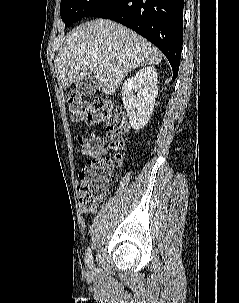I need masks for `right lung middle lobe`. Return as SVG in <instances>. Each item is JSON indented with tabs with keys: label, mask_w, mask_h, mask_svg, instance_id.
<instances>
[{
	"label": "right lung middle lobe",
	"mask_w": 239,
	"mask_h": 303,
	"mask_svg": "<svg viewBox=\"0 0 239 303\" xmlns=\"http://www.w3.org/2000/svg\"><path fill=\"white\" fill-rule=\"evenodd\" d=\"M106 0H62L60 15L65 23V28L71 26L84 16L102 5Z\"/></svg>",
	"instance_id": "right-lung-middle-lobe-1"
}]
</instances>
